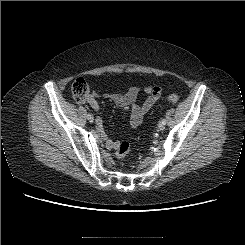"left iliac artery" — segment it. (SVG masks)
Masks as SVG:
<instances>
[{
  "label": "left iliac artery",
  "instance_id": "44dca946",
  "mask_svg": "<svg viewBox=\"0 0 245 245\" xmlns=\"http://www.w3.org/2000/svg\"><path fill=\"white\" fill-rule=\"evenodd\" d=\"M161 122L165 125L166 124V119H162Z\"/></svg>",
  "mask_w": 245,
  "mask_h": 245
}]
</instances>
